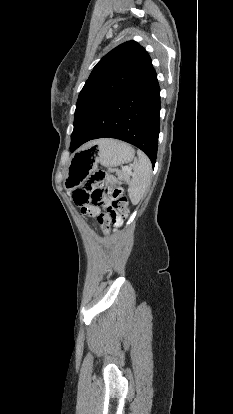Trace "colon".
I'll return each mask as SVG.
<instances>
[{"instance_id": "1", "label": "colon", "mask_w": 233, "mask_h": 414, "mask_svg": "<svg viewBox=\"0 0 233 414\" xmlns=\"http://www.w3.org/2000/svg\"><path fill=\"white\" fill-rule=\"evenodd\" d=\"M73 199L80 208L86 205L102 207L98 221L104 228L117 218L129 215V202L123 185L103 171L93 174L83 189L74 191Z\"/></svg>"}]
</instances>
